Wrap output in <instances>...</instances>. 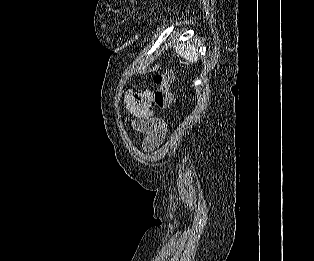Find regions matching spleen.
Segmentation results:
<instances>
[{"label": "spleen", "mask_w": 314, "mask_h": 261, "mask_svg": "<svg viewBox=\"0 0 314 261\" xmlns=\"http://www.w3.org/2000/svg\"><path fill=\"white\" fill-rule=\"evenodd\" d=\"M174 48L176 53L183 59L187 60L190 63H196L199 59L198 48L191 43L183 45H175Z\"/></svg>", "instance_id": "3e777b00"}]
</instances>
